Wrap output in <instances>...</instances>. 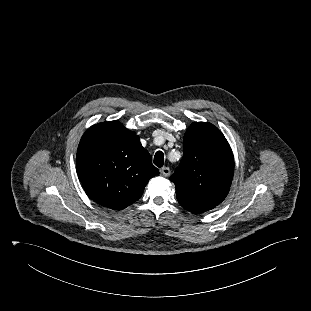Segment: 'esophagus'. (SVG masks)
<instances>
[{
  "label": "esophagus",
  "instance_id": "obj_1",
  "mask_svg": "<svg viewBox=\"0 0 311 311\" xmlns=\"http://www.w3.org/2000/svg\"><path fill=\"white\" fill-rule=\"evenodd\" d=\"M160 173H161L163 176H165V177L169 176V175H170V169H169V167H162V168L160 169Z\"/></svg>",
  "mask_w": 311,
  "mask_h": 311
}]
</instances>
